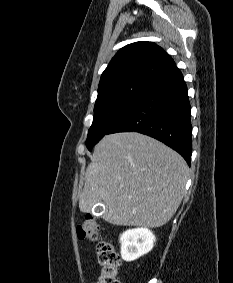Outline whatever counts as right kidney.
Instances as JSON below:
<instances>
[{"label": "right kidney", "instance_id": "ca27d5eb", "mask_svg": "<svg viewBox=\"0 0 233 283\" xmlns=\"http://www.w3.org/2000/svg\"><path fill=\"white\" fill-rule=\"evenodd\" d=\"M155 236L147 228L126 230L120 236L121 256L125 261H134L152 250Z\"/></svg>", "mask_w": 233, "mask_h": 283}]
</instances>
